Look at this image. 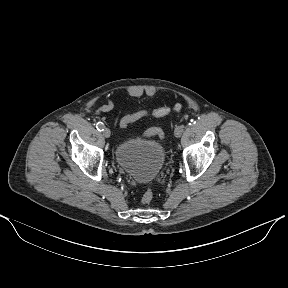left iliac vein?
Listing matches in <instances>:
<instances>
[{"label":"left iliac vein","instance_id":"left-iliac-vein-1","mask_svg":"<svg viewBox=\"0 0 288 288\" xmlns=\"http://www.w3.org/2000/svg\"><path fill=\"white\" fill-rule=\"evenodd\" d=\"M183 131H184V130L179 129V126H177V127L175 128V130H174V135H175L177 138H179V137H181Z\"/></svg>","mask_w":288,"mask_h":288}]
</instances>
